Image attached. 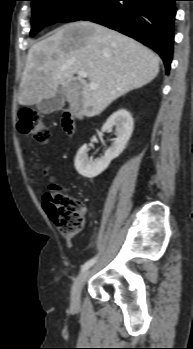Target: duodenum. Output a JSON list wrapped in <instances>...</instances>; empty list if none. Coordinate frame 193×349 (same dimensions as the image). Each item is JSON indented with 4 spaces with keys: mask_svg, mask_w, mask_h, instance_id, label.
<instances>
[{
    "mask_svg": "<svg viewBox=\"0 0 193 349\" xmlns=\"http://www.w3.org/2000/svg\"><path fill=\"white\" fill-rule=\"evenodd\" d=\"M62 126L64 127V130L71 134L74 130V121L72 118V115L70 113H65L63 120H62Z\"/></svg>",
    "mask_w": 193,
    "mask_h": 349,
    "instance_id": "obj_1",
    "label": "duodenum"
}]
</instances>
